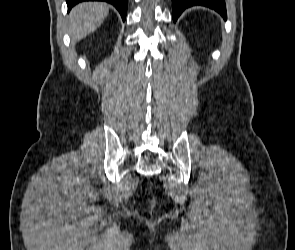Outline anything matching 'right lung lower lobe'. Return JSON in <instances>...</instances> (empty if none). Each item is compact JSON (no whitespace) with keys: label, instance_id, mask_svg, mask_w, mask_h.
<instances>
[{"label":"right lung lower lobe","instance_id":"1","mask_svg":"<svg viewBox=\"0 0 295 250\" xmlns=\"http://www.w3.org/2000/svg\"><path fill=\"white\" fill-rule=\"evenodd\" d=\"M83 1H89V0H66L68 11H70V9L77 3H80ZM96 1H105V2L113 4L116 7V9L119 11V13L121 14L122 19L125 20L126 13H127V0H96Z\"/></svg>","mask_w":295,"mask_h":250}]
</instances>
